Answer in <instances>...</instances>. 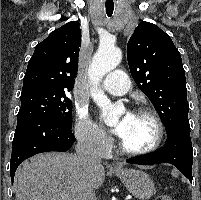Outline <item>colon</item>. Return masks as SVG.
<instances>
[{"instance_id": "colon-1", "label": "colon", "mask_w": 201, "mask_h": 200, "mask_svg": "<svg viewBox=\"0 0 201 200\" xmlns=\"http://www.w3.org/2000/svg\"><path fill=\"white\" fill-rule=\"evenodd\" d=\"M158 200H172V198L169 195H161Z\"/></svg>"}]
</instances>
